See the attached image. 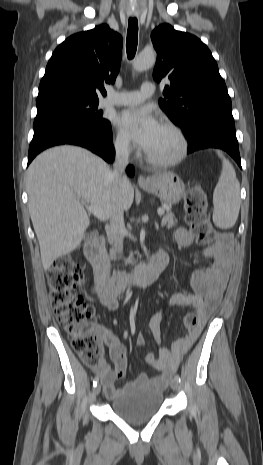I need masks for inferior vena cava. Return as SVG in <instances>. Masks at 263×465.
<instances>
[{
	"label": "inferior vena cava",
	"mask_w": 263,
	"mask_h": 465,
	"mask_svg": "<svg viewBox=\"0 0 263 465\" xmlns=\"http://www.w3.org/2000/svg\"><path fill=\"white\" fill-rule=\"evenodd\" d=\"M128 144L127 142L119 143L116 146V157L114 162V169L111 172V179L115 187L121 188L129 183L127 176L125 175V168L128 164ZM111 238L113 246L117 253L123 252V239L126 233L124 223V212L121 205H117L111 216Z\"/></svg>",
	"instance_id": "1"
}]
</instances>
